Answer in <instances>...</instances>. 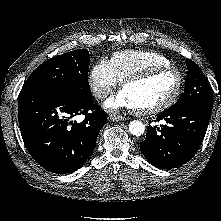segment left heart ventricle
Wrapping results in <instances>:
<instances>
[{"label": "left heart ventricle", "instance_id": "1", "mask_svg": "<svg viewBox=\"0 0 221 221\" xmlns=\"http://www.w3.org/2000/svg\"><path fill=\"white\" fill-rule=\"evenodd\" d=\"M176 87V74L167 72L143 82L130 84L122 91L136 109H146L167 100L174 93Z\"/></svg>", "mask_w": 221, "mask_h": 221}]
</instances>
